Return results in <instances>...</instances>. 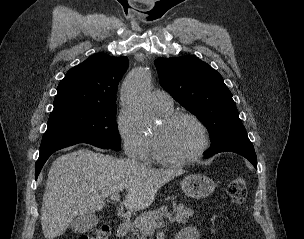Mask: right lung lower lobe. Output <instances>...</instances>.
I'll return each instance as SVG.
<instances>
[{"instance_id":"1","label":"right lung lower lobe","mask_w":304,"mask_h":239,"mask_svg":"<svg viewBox=\"0 0 304 239\" xmlns=\"http://www.w3.org/2000/svg\"><path fill=\"white\" fill-rule=\"evenodd\" d=\"M77 143H88L91 145H94L99 148L104 149H111L110 147L96 142H89V141H77V140H69V141H58V142H48L43 143L40 146V154L39 158L35 165V178L37 179L43 165L47 161V159L50 157L51 154H53L55 151L60 150L62 148L77 144Z\"/></svg>"}]
</instances>
